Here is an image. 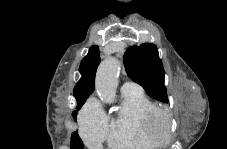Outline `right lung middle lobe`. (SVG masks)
I'll return each instance as SVG.
<instances>
[{
  "label": "right lung middle lobe",
  "instance_id": "dd1d6c3e",
  "mask_svg": "<svg viewBox=\"0 0 227 149\" xmlns=\"http://www.w3.org/2000/svg\"><path fill=\"white\" fill-rule=\"evenodd\" d=\"M82 106L76 108V109H80ZM77 115V111H74L72 113V116L75 118ZM83 148V143L81 141V139L79 138V136L77 135V132H74L71 136V149H82Z\"/></svg>",
  "mask_w": 227,
  "mask_h": 149
}]
</instances>
